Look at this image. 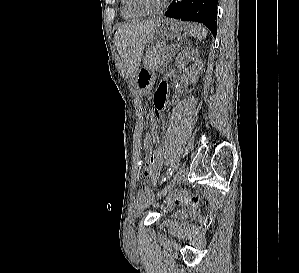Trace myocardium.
<instances>
[{"label":"myocardium","mask_w":299,"mask_h":273,"mask_svg":"<svg viewBox=\"0 0 299 273\" xmlns=\"http://www.w3.org/2000/svg\"><path fill=\"white\" fill-rule=\"evenodd\" d=\"M132 6L140 11L143 12L145 14H157L160 13L161 11H163L167 5L169 0H163L158 6L156 7H151L149 5L146 4V2L144 0H130Z\"/></svg>","instance_id":"1"}]
</instances>
